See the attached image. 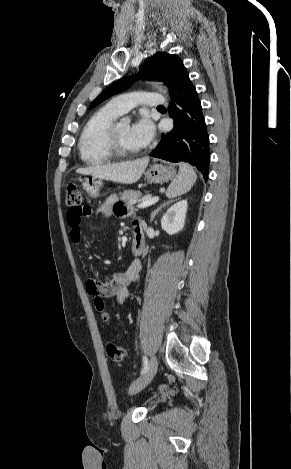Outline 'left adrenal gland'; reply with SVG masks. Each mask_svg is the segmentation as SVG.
Instances as JSON below:
<instances>
[{
	"instance_id": "obj_1",
	"label": "left adrenal gland",
	"mask_w": 291,
	"mask_h": 469,
	"mask_svg": "<svg viewBox=\"0 0 291 469\" xmlns=\"http://www.w3.org/2000/svg\"><path fill=\"white\" fill-rule=\"evenodd\" d=\"M171 202H173V200H170V201H167V202H164L163 204H161L158 208H156L152 213H151V218H150V222L153 221L154 217L156 216V214L166 205L170 204Z\"/></svg>"
}]
</instances>
